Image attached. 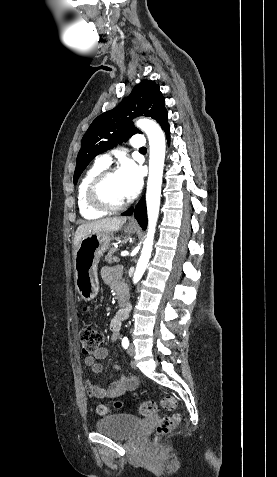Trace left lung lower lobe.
<instances>
[{
	"instance_id": "left-lung-lower-lobe-1",
	"label": "left lung lower lobe",
	"mask_w": 277,
	"mask_h": 477,
	"mask_svg": "<svg viewBox=\"0 0 277 477\" xmlns=\"http://www.w3.org/2000/svg\"><path fill=\"white\" fill-rule=\"evenodd\" d=\"M162 129L165 131L166 137L169 141L170 127L168 122L164 126H162ZM133 213L138 223L140 224V226L145 230L147 226V211H146V203H145L144 197L140 200V202L138 203L135 209L131 208L127 210L126 212H124L122 215L130 216Z\"/></svg>"
}]
</instances>
